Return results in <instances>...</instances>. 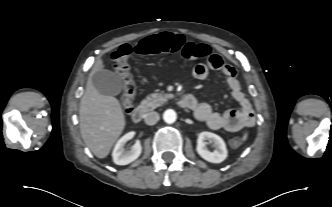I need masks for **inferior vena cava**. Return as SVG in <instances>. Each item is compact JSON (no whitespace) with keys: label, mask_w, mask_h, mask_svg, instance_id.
Masks as SVG:
<instances>
[{"label":"inferior vena cava","mask_w":332,"mask_h":207,"mask_svg":"<svg viewBox=\"0 0 332 207\" xmlns=\"http://www.w3.org/2000/svg\"><path fill=\"white\" fill-rule=\"evenodd\" d=\"M159 120V114L155 111L149 112L146 114L145 123L147 125H154Z\"/></svg>","instance_id":"inferior-vena-cava-1"}]
</instances>
